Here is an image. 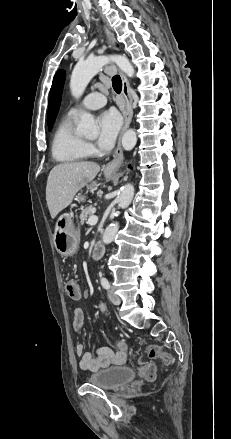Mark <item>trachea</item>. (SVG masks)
I'll list each match as a JSON object with an SVG mask.
<instances>
[{
    "label": "trachea",
    "instance_id": "obj_1",
    "mask_svg": "<svg viewBox=\"0 0 231 439\" xmlns=\"http://www.w3.org/2000/svg\"><path fill=\"white\" fill-rule=\"evenodd\" d=\"M112 86L116 93H120L122 90V80L119 75H115L112 78Z\"/></svg>",
    "mask_w": 231,
    "mask_h": 439
}]
</instances>
